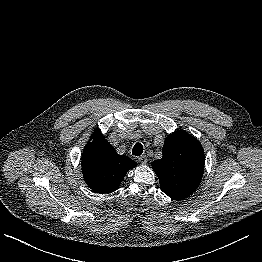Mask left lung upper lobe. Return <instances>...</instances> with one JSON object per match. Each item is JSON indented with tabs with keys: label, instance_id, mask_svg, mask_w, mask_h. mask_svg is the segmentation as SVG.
Segmentation results:
<instances>
[{
	"label": "left lung upper lobe",
	"instance_id": "left-lung-upper-lobe-1",
	"mask_svg": "<svg viewBox=\"0 0 262 262\" xmlns=\"http://www.w3.org/2000/svg\"><path fill=\"white\" fill-rule=\"evenodd\" d=\"M204 150L186 131H175L165 139L163 156L152 163L161 190L174 200L185 199L199 186L204 173Z\"/></svg>",
	"mask_w": 262,
	"mask_h": 262
}]
</instances>
